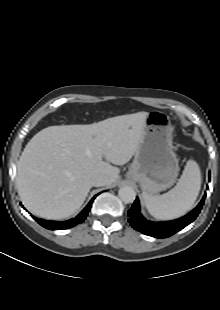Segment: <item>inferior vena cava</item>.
I'll return each instance as SVG.
<instances>
[{
	"label": "inferior vena cava",
	"mask_w": 220,
	"mask_h": 310,
	"mask_svg": "<svg viewBox=\"0 0 220 310\" xmlns=\"http://www.w3.org/2000/svg\"><path fill=\"white\" fill-rule=\"evenodd\" d=\"M107 183V177L104 175H95L91 179L92 186L99 187L104 186Z\"/></svg>",
	"instance_id": "inferior-vena-cava-1"
}]
</instances>
